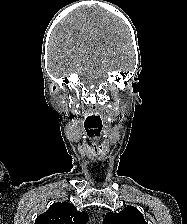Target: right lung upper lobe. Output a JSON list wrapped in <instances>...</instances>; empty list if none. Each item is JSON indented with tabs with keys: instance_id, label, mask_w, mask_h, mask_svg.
Masks as SVG:
<instances>
[{
	"instance_id": "1",
	"label": "right lung upper lobe",
	"mask_w": 187,
	"mask_h": 224,
	"mask_svg": "<svg viewBox=\"0 0 187 224\" xmlns=\"http://www.w3.org/2000/svg\"><path fill=\"white\" fill-rule=\"evenodd\" d=\"M88 220V214L77 211L73 204L58 202L39 215L35 224H86Z\"/></svg>"
}]
</instances>
